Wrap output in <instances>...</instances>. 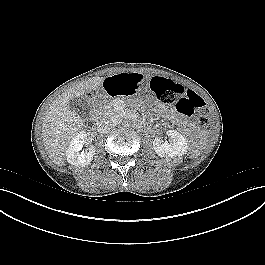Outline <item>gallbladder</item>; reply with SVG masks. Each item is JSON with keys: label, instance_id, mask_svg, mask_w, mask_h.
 I'll return each instance as SVG.
<instances>
[{"label": "gallbladder", "instance_id": "gallbladder-1", "mask_svg": "<svg viewBox=\"0 0 265 265\" xmlns=\"http://www.w3.org/2000/svg\"><path fill=\"white\" fill-rule=\"evenodd\" d=\"M69 107L78 113L83 120H88L91 115L90 104L85 98H74L70 100Z\"/></svg>", "mask_w": 265, "mask_h": 265}]
</instances>
